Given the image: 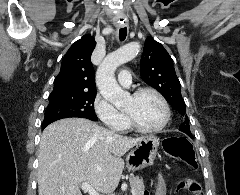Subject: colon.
Listing matches in <instances>:
<instances>
[{
	"label": "colon",
	"mask_w": 240,
	"mask_h": 195,
	"mask_svg": "<svg viewBox=\"0 0 240 195\" xmlns=\"http://www.w3.org/2000/svg\"><path fill=\"white\" fill-rule=\"evenodd\" d=\"M164 152L175 158L182 160L189 167L195 169L198 166V158L192 148L191 143L187 138L175 137L166 139L163 141ZM165 175V172H164ZM165 178V177H164ZM165 183V181H164ZM163 183V173H158V184L155 195H165L167 186ZM188 191L192 192L193 195H202V186L196 180H188Z\"/></svg>",
	"instance_id": "1"
}]
</instances>
